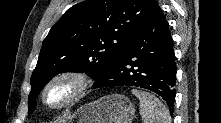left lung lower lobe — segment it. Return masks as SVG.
Segmentation results:
<instances>
[{"instance_id":"1","label":"left lung lower lobe","mask_w":221,"mask_h":123,"mask_svg":"<svg viewBox=\"0 0 221 123\" xmlns=\"http://www.w3.org/2000/svg\"><path fill=\"white\" fill-rule=\"evenodd\" d=\"M176 71L168 22L158 6L117 61L95 79L93 88L142 87L160 95L173 113Z\"/></svg>"}]
</instances>
